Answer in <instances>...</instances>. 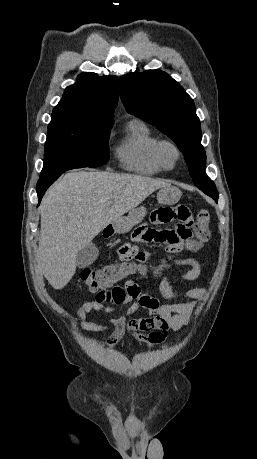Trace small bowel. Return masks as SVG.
Instances as JSON below:
<instances>
[{
  "label": "small bowel",
  "mask_w": 257,
  "mask_h": 459,
  "mask_svg": "<svg viewBox=\"0 0 257 459\" xmlns=\"http://www.w3.org/2000/svg\"><path fill=\"white\" fill-rule=\"evenodd\" d=\"M148 222L153 226H164L163 231L156 227H133L131 239H122L117 246L115 257L117 264H147L157 261L158 254L154 247L168 251L169 257H178L184 251L187 241H193L197 228L193 227L191 205H154L152 213L147 215ZM152 243V245H151ZM139 244H142L139 246ZM173 265L188 266L189 269L174 276H164L160 280L162 295L168 300H185L161 304L156 297L145 293L136 279L126 282L125 286L116 285L100 291L104 301H86L77 311L80 328L90 332L110 330L107 345L116 346L126 332L138 341L147 343L148 347L165 340L169 330L178 331L191 319L198 301L206 290L201 287L185 290H174L172 281L192 282L197 280L202 271L203 263L194 257L175 258ZM125 310L120 316H111L118 308ZM144 310L145 315L135 318L133 314ZM99 315L105 322L88 320L89 316Z\"/></svg>",
  "instance_id": "c3829d8e"
}]
</instances>
